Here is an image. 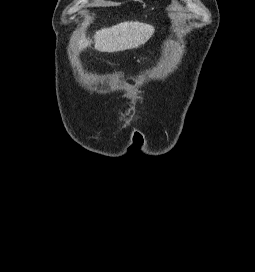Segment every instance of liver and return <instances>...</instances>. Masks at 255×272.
Here are the masks:
<instances>
[{
	"instance_id": "6515ba94",
	"label": "liver",
	"mask_w": 255,
	"mask_h": 272,
	"mask_svg": "<svg viewBox=\"0 0 255 272\" xmlns=\"http://www.w3.org/2000/svg\"><path fill=\"white\" fill-rule=\"evenodd\" d=\"M154 34V27L141 22H123L97 31L94 35L95 49L99 52H118L136 48L146 43ZM91 41L82 37L79 48H86Z\"/></svg>"
}]
</instances>
